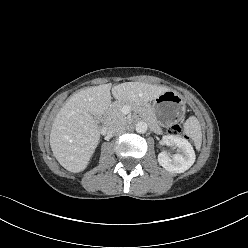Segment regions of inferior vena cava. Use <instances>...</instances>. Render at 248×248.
<instances>
[{"label":"inferior vena cava","mask_w":248,"mask_h":248,"mask_svg":"<svg viewBox=\"0 0 248 248\" xmlns=\"http://www.w3.org/2000/svg\"><path fill=\"white\" fill-rule=\"evenodd\" d=\"M109 131L111 134L118 136L125 133L126 128L122 123L116 121L110 125Z\"/></svg>","instance_id":"inferior-vena-cava-1"}]
</instances>
